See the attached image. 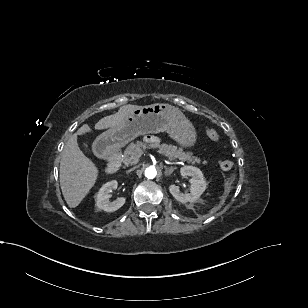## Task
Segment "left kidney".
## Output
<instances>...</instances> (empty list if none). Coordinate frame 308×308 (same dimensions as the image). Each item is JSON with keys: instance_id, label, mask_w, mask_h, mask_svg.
<instances>
[{"instance_id": "5707ae66", "label": "left kidney", "mask_w": 308, "mask_h": 308, "mask_svg": "<svg viewBox=\"0 0 308 308\" xmlns=\"http://www.w3.org/2000/svg\"><path fill=\"white\" fill-rule=\"evenodd\" d=\"M180 174L182 177H191L190 193H181L179 186L174 184L169 186L170 193L177 201L183 204L196 202L205 191L207 185L201 170L193 166H184L180 169Z\"/></svg>"}]
</instances>
